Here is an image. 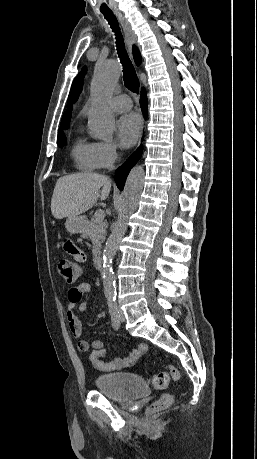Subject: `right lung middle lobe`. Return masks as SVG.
I'll list each match as a JSON object with an SVG mask.
<instances>
[{"mask_svg": "<svg viewBox=\"0 0 257 459\" xmlns=\"http://www.w3.org/2000/svg\"><path fill=\"white\" fill-rule=\"evenodd\" d=\"M58 145L60 147L64 146L66 144V137L63 131L58 133V139H57Z\"/></svg>", "mask_w": 257, "mask_h": 459, "instance_id": "right-lung-middle-lobe-1", "label": "right lung middle lobe"}]
</instances>
